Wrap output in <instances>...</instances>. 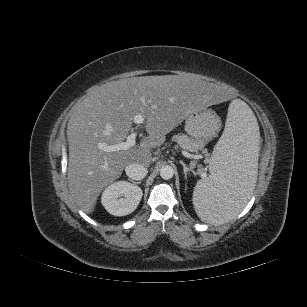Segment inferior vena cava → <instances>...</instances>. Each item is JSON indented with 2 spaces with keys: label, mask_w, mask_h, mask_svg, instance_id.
<instances>
[{
  "label": "inferior vena cava",
  "mask_w": 307,
  "mask_h": 307,
  "mask_svg": "<svg viewBox=\"0 0 307 307\" xmlns=\"http://www.w3.org/2000/svg\"><path fill=\"white\" fill-rule=\"evenodd\" d=\"M125 172L127 176L133 180H141L147 175V168L139 163H131L126 166Z\"/></svg>",
  "instance_id": "602c4592"
}]
</instances>
